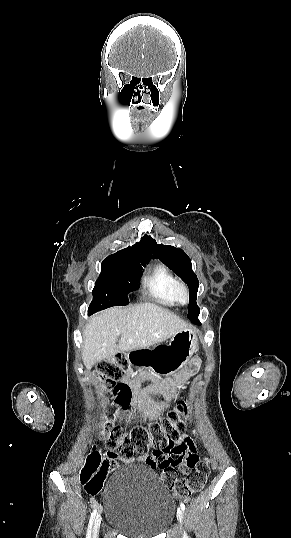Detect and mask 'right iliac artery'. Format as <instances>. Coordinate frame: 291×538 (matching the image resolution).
Listing matches in <instances>:
<instances>
[{
  "label": "right iliac artery",
  "mask_w": 291,
  "mask_h": 538,
  "mask_svg": "<svg viewBox=\"0 0 291 538\" xmlns=\"http://www.w3.org/2000/svg\"><path fill=\"white\" fill-rule=\"evenodd\" d=\"M96 513H97V508H95L93 510L92 514H91L89 524H88V528H87L86 538H91L92 524H93V521L95 519Z\"/></svg>",
  "instance_id": "obj_1"
}]
</instances>
